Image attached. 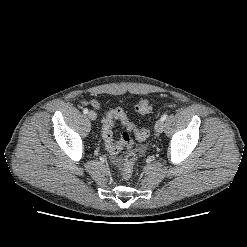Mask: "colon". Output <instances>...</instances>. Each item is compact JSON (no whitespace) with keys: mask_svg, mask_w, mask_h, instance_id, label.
Here are the masks:
<instances>
[{"mask_svg":"<svg viewBox=\"0 0 247 247\" xmlns=\"http://www.w3.org/2000/svg\"><path fill=\"white\" fill-rule=\"evenodd\" d=\"M135 110L142 116L147 115L152 110L151 100L149 98L141 99L135 106ZM115 120H119L126 128L119 142H114L113 140V126ZM132 134H134L137 140L144 141L148 138L149 131L146 128L135 129L121 108L112 109L107 113L102 122V138L107 151L111 155H118L123 148L128 150L122 166V178L125 181H129L133 178L134 165L137 160Z\"/></svg>","mask_w":247,"mask_h":247,"instance_id":"5ec220e1","label":"colon"}]
</instances>
